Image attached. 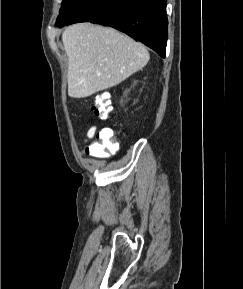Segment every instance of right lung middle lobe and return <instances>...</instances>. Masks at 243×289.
Listing matches in <instances>:
<instances>
[{"instance_id":"obj_1","label":"right lung middle lobe","mask_w":243,"mask_h":289,"mask_svg":"<svg viewBox=\"0 0 243 289\" xmlns=\"http://www.w3.org/2000/svg\"><path fill=\"white\" fill-rule=\"evenodd\" d=\"M82 0H63L56 23L68 19Z\"/></svg>"}]
</instances>
